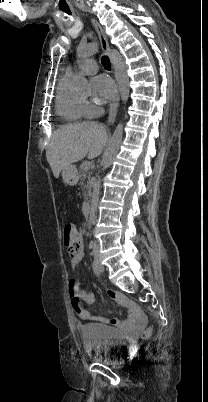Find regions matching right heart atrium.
I'll return each mask as SVG.
<instances>
[{"instance_id":"1","label":"right heart atrium","mask_w":208,"mask_h":402,"mask_svg":"<svg viewBox=\"0 0 208 402\" xmlns=\"http://www.w3.org/2000/svg\"><path fill=\"white\" fill-rule=\"evenodd\" d=\"M85 116L87 119H95L102 112V103L89 97H83Z\"/></svg>"}]
</instances>
